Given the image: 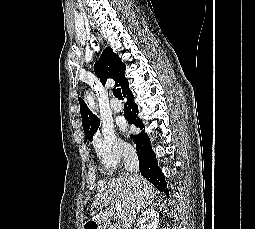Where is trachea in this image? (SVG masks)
Segmentation results:
<instances>
[{
	"label": "trachea",
	"instance_id": "1",
	"mask_svg": "<svg viewBox=\"0 0 255 229\" xmlns=\"http://www.w3.org/2000/svg\"><path fill=\"white\" fill-rule=\"evenodd\" d=\"M113 95L120 99V100H123V96H122V92H121V89L117 88V89H114L113 90Z\"/></svg>",
	"mask_w": 255,
	"mask_h": 229
}]
</instances>
